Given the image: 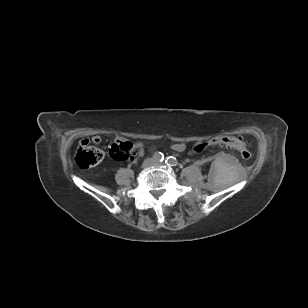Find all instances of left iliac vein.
I'll list each match as a JSON object with an SVG mask.
<instances>
[{"label": "left iliac vein", "mask_w": 308, "mask_h": 308, "mask_svg": "<svg viewBox=\"0 0 308 308\" xmlns=\"http://www.w3.org/2000/svg\"><path fill=\"white\" fill-rule=\"evenodd\" d=\"M153 165H154V166H161L162 163H161V162H158V161H154V162H153Z\"/></svg>", "instance_id": "1"}]
</instances>
